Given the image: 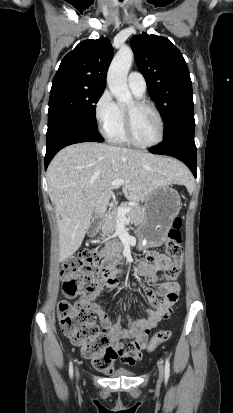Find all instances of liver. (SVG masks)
<instances>
[{"instance_id":"liver-1","label":"liver","mask_w":233,"mask_h":413,"mask_svg":"<svg viewBox=\"0 0 233 413\" xmlns=\"http://www.w3.org/2000/svg\"><path fill=\"white\" fill-rule=\"evenodd\" d=\"M187 176V168L177 160L129 148L83 142L62 149L47 170L59 231V260L79 249L93 213L106 212L115 198L112 181L124 180L122 193L137 202L158 187L182 184Z\"/></svg>"}]
</instances>
